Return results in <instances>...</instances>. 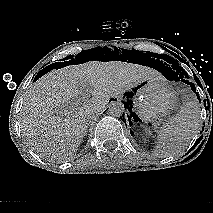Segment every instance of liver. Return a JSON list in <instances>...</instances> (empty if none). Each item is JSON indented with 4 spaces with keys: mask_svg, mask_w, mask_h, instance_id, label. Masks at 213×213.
<instances>
[{
    "mask_svg": "<svg viewBox=\"0 0 213 213\" xmlns=\"http://www.w3.org/2000/svg\"><path fill=\"white\" fill-rule=\"evenodd\" d=\"M160 77L149 67L123 61H89L51 70L34 82L25 96L23 136L40 157L68 161L82 142L91 113L103 111L111 97ZM83 91L90 92L92 98L81 103L76 99Z\"/></svg>",
    "mask_w": 213,
    "mask_h": 213,
    "instance_id": "liver-1",
    "label": "liver"
}]
</instances>
